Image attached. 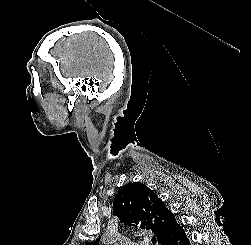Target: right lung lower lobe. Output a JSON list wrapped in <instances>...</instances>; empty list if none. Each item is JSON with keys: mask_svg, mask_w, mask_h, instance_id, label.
<instances>
[{"mask_svg": "<svg viewBox=\"0 0 251 245\" xmlns=\"http://www.w3.org/2000/svg\"><path fill=\"white\" fill-rule=\"evenodd\" d=\"M162 245H190V242L186 237L183 228H181L173 237L162 243Z\"/></svg>", "mask_w": 251, "mask_h": 245, "instance_id": "98d812e1", "label": "right lung lower lobe"}]
</instances>
